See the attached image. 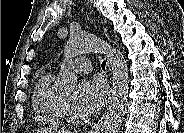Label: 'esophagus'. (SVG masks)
Here are the masks:
<instances>
[{
	"instance_id": "esophagus-1",
	"label": "esophagus",
	"mask_w": 184,
	"mask_h": 133,
	"mask_svg": "<svg viewBox=\"0 0 184 133\" xmlns=\"http://www.w3.org/2000/svg\"><path fill=\"white\" fill-rule=\"evenodd\" d=\"M108 67H109V64H108ZM112 95V89H110V96ZM103 119V118H102ZM102 119L99 120L91 129L92 133H98L100 128H101V125H102Z\"/></svg>"
}]
</instances>
